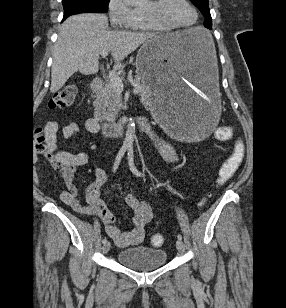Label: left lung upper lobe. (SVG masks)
Returning <instances> with one entry per match:
<instances>
[{
	"instance_id": "5c2ea615",
	"label": "left lung upper lobe",
	"mask_w": 286,
	"mask_h": 308,
	"mask_svg": "<svg viewBox=\"0 0 286 308\" xmlns=\"http://www.w3.org/2000/svg\"><path fill=\"white\" fill-rule=\"evenodd\" d=\"M195 6L199 8L201 13L204 15L206 18L204 21V26L206 28L211 29L212 27V19L210 15V10H209V5H208V0H190Z\"/></svg>"
}]
</instances>
